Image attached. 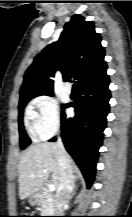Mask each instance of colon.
<instances>
[{"label": "colon", "mask_w": 132, "mask_h": 217, "mask_svg": "<svg viewBox=\"0 0 132 217\" xmlns=\"http://www.w3.org/2000/svg\"><path fill=\"white\" fill-rule=\"evenodd\" d=\"M20 217H34V216L23 215V216H20Z\"/></svg>", "instance_id": "5ec220e1"}]
</instances>
